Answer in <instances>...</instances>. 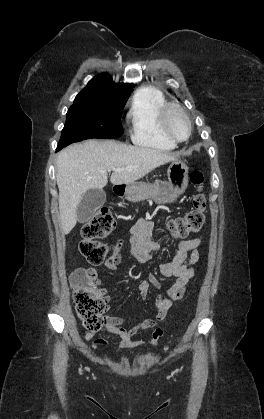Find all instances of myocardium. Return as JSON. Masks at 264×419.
<instances>
[{
	"mask_svg": "<svg viewBox=\"0 0 264 419\" xmlns=\"http://www.w3.org/2000/svg\"><path fill=\"white\" fill-rule=\"evenodd\" d=\"M173 112H176L179 115H181L187 123L188 134L184 139H179V138L175 137L169 129L168 118H169V115ZM159 124H160V129H161L162 134L169 141H171L175 144L187 141L189 139V137L191 136V133H192V124H191V121H190V118H189L188 114L179 105H177L175 103H166L163 106V108L161 109V112H160Z\"/></svg>",
	"mask_w": 264,
	"mask_h": 419,
	"instance_id": "1",
	"label": "myocardium"
}]
</instances>
